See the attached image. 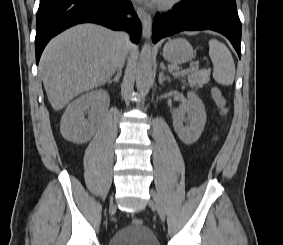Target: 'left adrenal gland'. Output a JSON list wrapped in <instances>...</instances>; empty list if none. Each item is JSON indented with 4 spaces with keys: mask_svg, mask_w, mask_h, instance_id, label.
I'll list each match as a JSON object with an SVG mask.
<instances>
[{
    "mask_svg": "<svg viewBox=\"0 0 283 245\" xmlns=\"http://www.w3.org/2000/svg\"><path fill=\"white\" fill-rule=\"evenodd\" d=\"M165 80H167V81H169V82L171 81L170 77L164 75V72L161 71V72L159 73V77H158V82H159V84L161 85V84L163 83V81H165Z\"/></svg>",
    "mask_w": 283,
    "mask_h": 245,
    "instance_id": "a2214340",
    "label": "left adrenal gland"
}]
</instances>
